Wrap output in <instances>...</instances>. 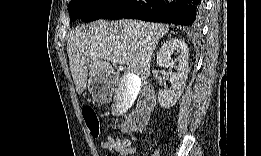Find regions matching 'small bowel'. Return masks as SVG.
I'll list each match as a JSON object with an SVG mask.
<instances>
[{
    "label": "small bowel",
    "mask_w": 261,
    "mask_h": 156,
    "mask_svg": "<svg viewBox=\"0 0 261 156\" xmlns=\"http://www.w3.org/2000/svg\"><path fill=\"white\" fill-rule=\"evenodd\" d=\"M100 146L102 149L108 151L110 155L130 156L134 155L136 148L134 146H125L122 141L112 135L101 141Z\"/></svg>",
    "instance_id": "1"
}]
</instances>
